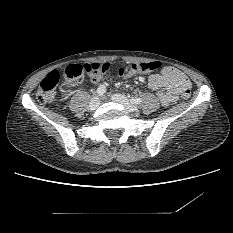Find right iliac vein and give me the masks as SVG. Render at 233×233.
I'll use <instances>...</instances> for the list:
<instances>
[{
	"instance_id": "obj_1",
	"label": "right iliac vein",
	"mask_w": 233,
	"mask_h": 233,
	"mask_svg": "<svg viewBox=\"0 0 233 233\" xmlns=\"http://www.w3.org/2000/svg\"><path fill=\"white\" fill-rule=\"evenodd\" d=\"M100 105V99L95 97L90 101L89 108L90 110H95L99 107Z\"/></svg>"
}]
</instances>
